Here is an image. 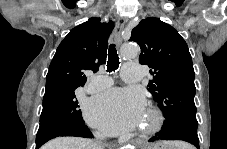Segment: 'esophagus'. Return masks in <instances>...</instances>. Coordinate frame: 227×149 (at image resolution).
I'll return each mask as SVG.
<instances>
[{
    "label": "esophagus",
    "instance_id": "obj_1",
    "mask_svg": "<svg viewBox=\"0 0 227 149\" xmlns=\"http://www.w3.org/2000/svg\"><path fill=\"white\" fill-rule=\"evenodd\" d=\"M126 21H127L126 18H119L117 21L116 31H115V43H116L117 47H119L122 44V34H123V30H124ZM137 144L145 145L146 141L138 140Z\"/></svg>",
    "mask_w": 227,
    "mask_h": 149
}]
</instances>
